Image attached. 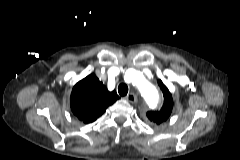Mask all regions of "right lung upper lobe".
Instances as JSON below:
<instances>
[{"label":"right lung upper lobe","mask_w":240,"mask_h":160,"mask_svg":"<svg viewBox=\"0 0 240 160\" xmlns=\"http://www.w3.org/2000/svg\"><path fill=\"white\" fill-rule=\"evenodd\" d=\"M119 96L107 88L94 75L79 81L72 90L70 106L73 114L84 123L95 121Z\"/></svg>","instance_id":"obj_1"}]
</instances>
